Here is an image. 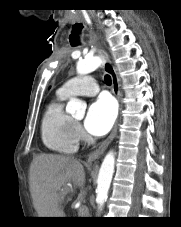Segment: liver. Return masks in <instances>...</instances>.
I'll return each instance as SVG.
<instances>
[{
  "label": "liver",
  "mask_w": 181,
  "mask_h": 227,
  "mask_svg": "<svg viewBox=\"0 0 181 227\" xmlns=\"http://www.w3.org/2000/svg\"><path fill=\"white\" fill-rule=\"evenodd\" d=\"M30 192L39 217H64L61 202L73 184L83 186V165L71 156L39 154L33 158L29 172Z\"/></svg>",
  "instance_id": "6515ba94"
}]
</instances>
